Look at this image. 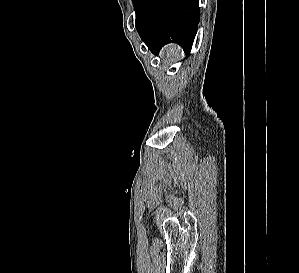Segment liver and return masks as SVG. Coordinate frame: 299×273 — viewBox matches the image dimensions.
Returning <instances> with one entry per match:
<instances>
[{"label": "liver", "instance_id": "liver-1", "mask_svg": "<svg viewBox=\"0 0 299 273\" xmlns=\"http://www.w3.org/2000/svg\"><path fill=\"white\" fill-rule=\"evenodd\" d=\"M182 50L178 45L171 44L169 46H166L162 52L161 57H167V58H175L179 59L181 57Z\"/></svg>", "mask_w": 299, "mask_h": 273}]
</instances>
